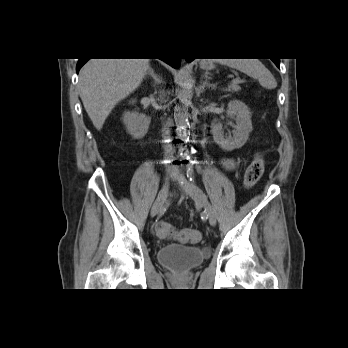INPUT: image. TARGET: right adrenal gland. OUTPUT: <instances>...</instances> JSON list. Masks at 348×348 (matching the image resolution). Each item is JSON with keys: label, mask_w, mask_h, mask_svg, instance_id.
<instances>
[{"label": "right adrenal gland", "mask_w": 348, "mask_h": 348, "mask_svg": "<svg viewBox=\"0 0 348 348\" xmlns=\"http://www.w3.org/2000/svg\"><path fill=\"white\" fill-rule=\"evenodd\" d=\"M146 75L150 76L153 79V86L156 87V85L160 84L162 82V79L159 75H157L152 67L148 68V71Z\"/></svg>", "instance_id": "2a0ac1e0"}]
</instances>
